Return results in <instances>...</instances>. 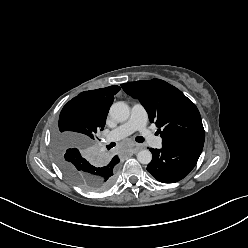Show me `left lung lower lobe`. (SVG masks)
<instances>
[{
	"mask_svg": "<svg viewBox=\"0 0 248 248\" xmlns=\"http://www.w3.org/2000/svg\"><path fill=\"white\" fill-rule=\"evenodd\" d=\"M204 145V137L184 139L162 149H153L147 170L163 183H175L186 177L196 165Z\"/></svg>",
	"mask_w": 248,
	"mask_h": 248,
	"instance_id": "obj_1",
	"label": "left lung lower lobe"
}]
</instances>
